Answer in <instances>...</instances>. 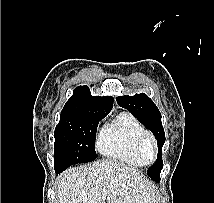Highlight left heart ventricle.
I'll return each instance as SVG.
<instances>
[{"label": "left heart ventricle", "instance_id": "b2bd125f", "mask_svg": "<svg viewBox=\"0 0 214 203\" xmlns=\"http://www.w3.org/2000/svg\"><path fill=\"white\" fill-rule=\"evenodd\" d=\"M144 157L147 160H150L153 157V152H152V148H151L150 144H146L144 147Z\"/></svg>", "mask_w": 214, "mask_h": 203}]
</instances>
